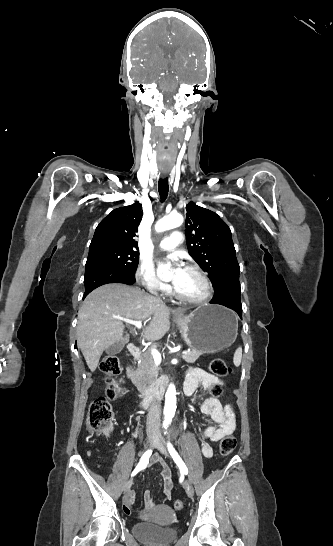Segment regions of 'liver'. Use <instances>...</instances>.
Returning a JSON list of instances; mask_svg holds the SVG:
<instances>
[{
	"label": "liver",
	"mask_w": 333,
	"mask_h": 546,
	"mask_svg": "<svg viewBox=\"0 0 333 546\" xmlns=\"http://www.w3.org/2000/svg\"><path fill=\"white\" fill-rule=\"evenodd\" d=\"M170 309L144 291L121 283H110L92 291L78 313L77 343L88 368L96 370L104 350L122 341L124 321L146 324L141 336L158 341L170 329Z\"/></svg>",
	"instance_id": "6515ba94"
}]
</instances>
